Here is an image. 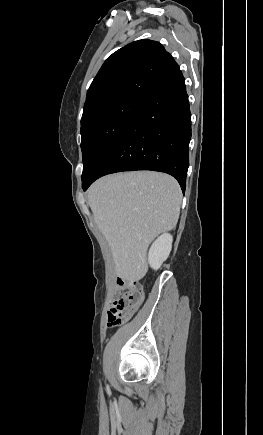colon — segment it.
I'll return each instance as SVG.
<instances>
[{"label":"colon","mask_w":263,"mask_h":435,"mask_svg":"<svg viewBox=\"0 0 263 435\" xmlns=\"http://www.w3.org/2000/svg\"><path fill=\"white\" fill-rule=\"evenodd\" d=\"M119 296L110 305L108 310L109 326H118L137 310L143 300L141 284L136 280H119L117 283Z\"/></svg>","instance_id":"5ec220e1"}]
</instances>
